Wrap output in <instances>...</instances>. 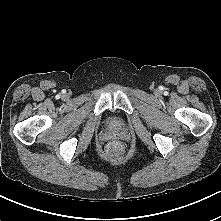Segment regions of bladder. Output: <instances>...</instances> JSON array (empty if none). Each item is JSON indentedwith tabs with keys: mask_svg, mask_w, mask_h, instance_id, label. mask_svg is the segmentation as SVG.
Instances as JSON below:
<instances>
[{
	"mask_svg": "<svg viewBox=\"0 0 221 221\" xmlns=\"http://www.w3.org/2000/svg\"><path fill=\"white\" fill-rule=\"evenodd\" d=\"M108 124L112 127H120L122 122L117 117L112 116L108 119Z\"/></svg>",
	"mask_w": 221,
	"mask_h": 221,
	"instance_id": "1",
	"label": "bladder"
}]
</instances>
